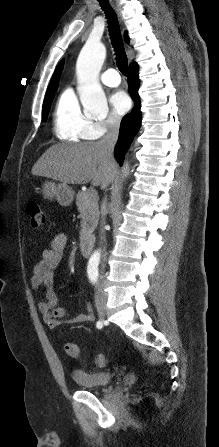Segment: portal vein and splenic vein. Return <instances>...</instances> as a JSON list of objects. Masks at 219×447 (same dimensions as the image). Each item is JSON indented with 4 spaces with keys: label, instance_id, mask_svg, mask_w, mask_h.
<instances>
[{
    "label": "portal vein and splenic vein",
    "instance_id": "1",
    "mask_svg": "<svg viewBox=\"0 0 219 447\" xmlns=\"http://www.w3.org/2000/svg\"><path fill=\"white\" fill-rule=\"evenodd\" d=\"M90 194H91V196H95V195H97V193H96L95 190H90Z\"/></svg>",
    "mask_w": 219,
    "mask_h": 447
}]
</instances>
